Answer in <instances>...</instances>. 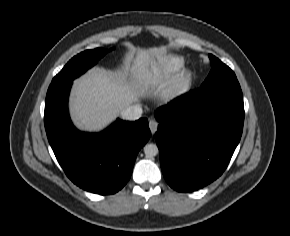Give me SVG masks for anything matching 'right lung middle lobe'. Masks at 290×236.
<instances>
[{
  "label": "right lung middle lobe",
  "instance_id": "obj_1",
  "mask_svg": "<svg viewBox=\"0 0 290 236\" xmlns=\"http://www.w3.org/2000/svg\"><path fill=\"white\" fill-rule=\"evenodd\" d=\"M107 50L97 48L94 50H86L73 57L64 68L53 78L51 83H61L74 80L87 69L95 65L96 61L102 58Z\"/></svg>",
  "mask_w": 290,
  "mask_h": 236
}]
</instances>
